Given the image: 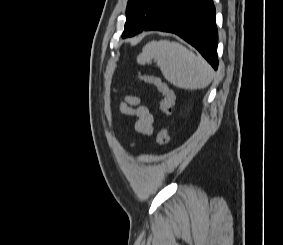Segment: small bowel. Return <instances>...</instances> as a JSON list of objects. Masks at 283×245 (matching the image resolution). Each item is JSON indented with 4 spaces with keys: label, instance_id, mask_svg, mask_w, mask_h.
<instances>
[{
    "label": "small bowel",
    "instance_id": "c3829d8e",
    "mask_svg": "<svg viewBox=\"0 0 283 245\" xmlns=\"http://www.w3.org/2000/svg\"><path fill=\"white\" fill-rule=\"evenodd\" d=\"M120 111L128 116L136 117L135 130L145 136L154 132V116L150 109L141 103L137 96H126L119 104ZM134 146V144H132Z\"/></svg>",
    "mask_w": 283,
    "mask_h": 245
}]
</instances>
